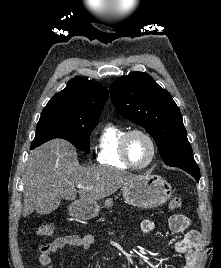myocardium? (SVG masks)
<instances>
[{"mask_svg":"<svg viewBox=\"0 0 221 268\" xmlns=\"http://www.w3.org/2000/svg\"><path fill=\"white\" fill-rule=\"evenodd\" d=\"M135 134L143 135L148 140V142L150 143V146H151L150 158L145 164H142V165L134 164L131 161L129 154H128V141H129L130 137L135 135ZM156 153H157L156 142H155L153 136L144 129L128 130L124 133V135L121 138V142H120L121 157H122L123 161L132 169L140 170V169H144V168L150 166L155 159Z\"/></svg>","mask_w":221,"mask_h":268,"instance_id":"f54148a6","label":"myocardium"}]
</instances>
